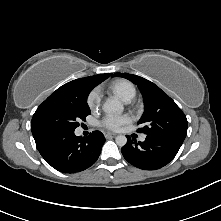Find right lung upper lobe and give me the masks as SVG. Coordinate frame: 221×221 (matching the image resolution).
<instances>
[{
	"label": "right lung upper lobe",
	"instance_id": "cb5924a9",
	"mask_svg": "<svg viewBox=\"0 0 221 221\" xmlns=\"http://www.w3.org/2000/svg\"><path fill=\"white\" fill-rule=\"evenodd\" d=\"M109 76H111V73L73 80L59 87L48 99H80L87 91H91Z\"/></svg>",
	"mask_w": 221,
	"mask_h": 221
}]
</instances>
